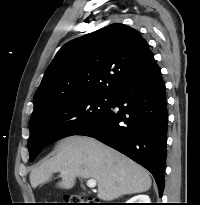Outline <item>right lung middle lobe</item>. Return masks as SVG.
<instances>
[{"label": "right lung middle lobe", "mask_w": 200, "mask_h": 205, "mask_svg": "<svg viewBox=\"0 0 200 205\" xmlns=\"http://www.w3.org/2000/svg\"><path fill=\"white\" fill-rule=\"evenodd\" d=\"M110 105L111 96L87 95L66 99L42 110L30 121V161L45 146L97 122L108 112Z\"/></svg>", "instance_id": "dd1d6c3e"}]
</instances>
